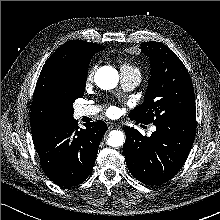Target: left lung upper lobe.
<instances>
[{"label": "left lung upper lobe", "mask_w": 220, "mask_h": 220, "mask_svg": "<svg viewBox=\"0 0 220 220\" xmlns=\"http://www.w3.org/2000/svg\"><path fill=\"white\" fill-rule=\"evenodd\" d=\"M140 48L150 58L151 77L144 102L130 118L143 124L168 118L196 122L194 89L182 61L161 42H144Z\"/></svg>", "instance_id": "1"}]
</instances>
